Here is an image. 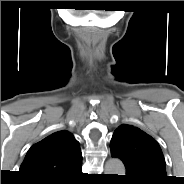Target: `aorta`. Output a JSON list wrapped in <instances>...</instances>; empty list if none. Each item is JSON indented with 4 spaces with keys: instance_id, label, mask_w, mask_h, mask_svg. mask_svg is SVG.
<instances>
[{
    "instance_id": "obj_1",
    "label": "aorta",
    "mask_w": 184,
    "mask_h": 184,
    "mask_svg": "<svg viewBox=\"0 0 184 184\" xmlns=\"http://www.w3.org/2000/svg\"><path fill=\"white\" fill-rule=\"evenodd\" d=\"M105 174L125 175V167L119 159H109L105 164Z\"/></svg>"
}]
</instances>
